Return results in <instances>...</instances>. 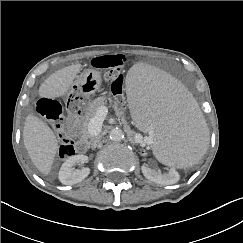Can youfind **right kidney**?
<instances>
[{"label":"right kidney","instance_id":"1","mask_svg":"<svg viewBox=\"0 0 243 243\" xmlns=\"http://www.w3.org/2000/svg\"><path fill=\"white\" fill-rule=\"evenodd\" d=\"M88 162V157L85 155H74L69 157L61 166L58 178L64 185H73L84 180L90 173L88 167L75 170L76 164H84Z\"/></svg>","mask_w":243,"mask_h":243}]
</instances>
